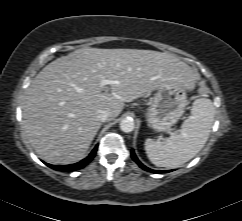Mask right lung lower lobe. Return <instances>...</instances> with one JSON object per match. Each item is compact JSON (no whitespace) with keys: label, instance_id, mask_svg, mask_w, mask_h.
Returning <instances> with one entry per match:
<instances>
[{"label":"right lung lower lobe","instance_id":"right-lung-lower-lobe-1","mask_svg":"<svg viewBox=\"0 0 242 221\" xmlns=\"http://www.w3.org/2000/svg\"><path fill=\"white\" fill-rule=\"evenodd\" d=\"M98 146H96L92 152L89 154V156L85 159H83L82 161L75 163V164H71V165H64V166H58V165H51L48 163H45L48 167L53 168L55 170L58 171H64V172H71V171H75L78 169H81L83 167H85L95 156L96 151H97Z\"/></svg>","mask_w":242,"mask_h":221}]
</instances>
